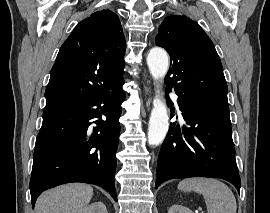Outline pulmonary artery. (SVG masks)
Segmentation results:
<instances>
[{
  "mask_svg": "<svg viewBox=\"0 0 270 213\" xmlns=\"http://www.w3.org/2000/svg\"><path fill=\"white\" fill-rule=\"evenodd\" d=\"M171 97L175 103V106L177 107L178 111H179V107H178V103H177V95L176 94H171Z\"/></svg>",
  "mask_w": 270,
  "mask_h": 213,
  "instance_id": "pulmonary-artery-1",
  "label": "pulmonary artery"
}]
</instances>
